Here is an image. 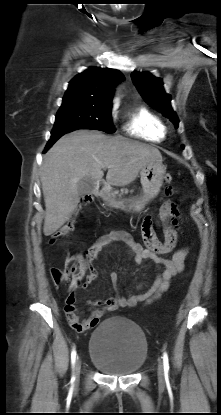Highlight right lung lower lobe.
Instances as JSON below:
<instances>
[{"label":"right lung lower lobe","instance_id":"1","mask_svg":"<svg viewBox=\"0 0 221 415\" xmlns=\"http://www.w3.org/2000/svg\"><path fill=\"white\" fill-rule=\"evenodd\" d=\"M61 135L58 136H51L50 140L48 141L44 152H46L59 138Z\"/></svg>","mask_w":221,"mask_h":415}]
</instances>
